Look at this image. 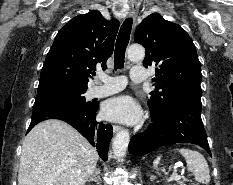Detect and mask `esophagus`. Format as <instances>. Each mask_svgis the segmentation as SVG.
<instances>
[{
    "instance_id": "34e87169",
    "label": "esophagus",
    "mask_w": 233,
    "mask_h": 185,
    "mask_svg": "<svg viewBox=\"0 0 233 185\" xmlns=\"http://www.w3.org/2000/svg\"><path fill=\"white\" fill-rule=\"evenodd\" d=\"M136 15H137V6L134 3H131L130 8H129V16L131 18H134V17H136ZM121 130H122V127H120L118 125L113 126V132L114 133H117V132H119Z\"/></svg>"
}]
</instances>
